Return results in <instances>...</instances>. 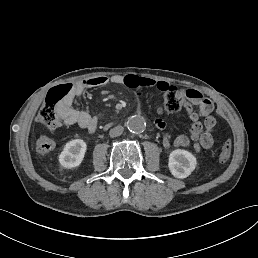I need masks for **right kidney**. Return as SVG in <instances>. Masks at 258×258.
Segmentation results:
<instances>
[{"mask_svg": "<svg viewBox=\"0 0 258 258\" xmlns=\"http://www.w3.org/2000/svg\"><path fill=\"white\" fill-rule=\"evenodd\" d=\"M86 150L82 140H73L66 144L59 160L64 167L72 168L80 164Z\"/></svg>", "mask_w": 258, "mask_h": 258, "instance_id": "right-kidney-1", "label": "right kidney"}]
</instances>
